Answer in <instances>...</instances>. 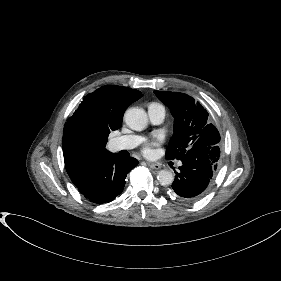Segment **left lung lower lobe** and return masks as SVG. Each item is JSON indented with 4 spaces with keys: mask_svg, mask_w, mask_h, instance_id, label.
Returning <instances> with one entry per match:
<instances>
[{
    "mask_svg": "<svg viewBox=\"0 0 281 281\" xmlns=\"http://www.w3.org/2000/svg\"><path fill=\"white\" fill-rule=\"evenodd\" d=\"M220 157V147L194 146L181 159L182 166L175 172L172 192L184 202L202 197L213 179Z\"/></svg>",
    "mask_w": 281,
    "mask_h": 281,
    "instance_id": "left-lung-lower-lobe-1",
    "label": "left lung lower lobe"
}]
</instances>
